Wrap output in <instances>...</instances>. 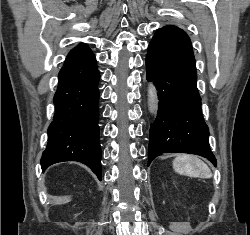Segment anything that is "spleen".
Instances as JSON below:
<instances>
[{
    "instance_id": "1",
    "label": "spleen",
    "mask_w": 250,
    "mask_h": 235,
    "mask_svg": "<svg viewBox=\"0 0 250 235\" xmlns=\"http://www.w3.org/2000/svg\"><path fill=\"white\" fill-rule=\"evenodd\" d=\"M174 170L181 175L211 178L212 173L205 162L191 155H180L173 160Z\"/></svg>"
}]
</instances>
